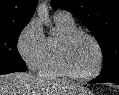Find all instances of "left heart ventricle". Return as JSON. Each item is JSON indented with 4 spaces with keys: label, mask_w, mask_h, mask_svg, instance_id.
Masks as SVG:
<instances>
[{
    "label": "left heart ventricle",
    "mask_w": 119,
    "mask_h": 95,
    "mask_svg": "<svg viewBox=\"0 0 119 95\" xmlns=\"http://www.w3.org/2000/svg\"><path fill=\"white\" fill-rule=\"evenodd\" d=\"M68 61L74 72L92 73L98 63V51L95 44L86 36H78L69 46Z\"/></svg>",
    "instance_id": "b2bd125f"
}]
</instances>
